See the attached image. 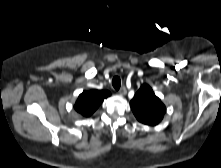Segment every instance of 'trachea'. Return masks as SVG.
Segmentation results:
<instances>
[{
  "mask_svg": "<svg viewBox=\"0 0 221 168\" xmlns=\"http://www.w3.org/2000/svg\"><path fill=\"white\" fill-rule=\"evenodd\" d=\"M112 85L116 90H119L120 86H121V80L120 77L115 76L112 80Z\"/></svg>",
  "mask_w": 221,
  "mask_h": 168,
  "instance_id": "1",
  "label": "trachea"
}]
</instances>
